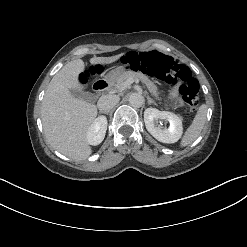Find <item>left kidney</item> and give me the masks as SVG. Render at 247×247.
<instances>
[{
  "instance_id": "5707ae66",
  "label": "left kidney",
  "mask_w": 247,
  "mask_h": 247,
  "mask_svg": "<svg viewBox=\"0 0 247 247\" xmlns=\"http://www.w3.org/2000/svg\"><path fill=\"white\" fill-rule=\"evenodd\" d=\"M158 119L167 120L170 126L167 129H160L155 126ZM144 122L147 131L162 143H175L182 135L183 127L181 119L174 113L159 111L156 108H147L144 111Z\"/></svg>"
}]
</instances>
